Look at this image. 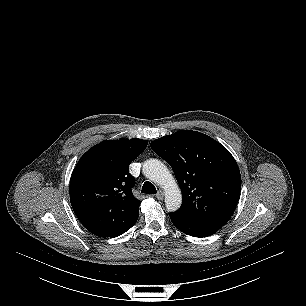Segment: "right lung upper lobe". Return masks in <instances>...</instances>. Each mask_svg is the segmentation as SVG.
I'll return each instance as SVG.
<instances>
[{
	"mask_svg": "<svg viewBox=\"0 0 306 306\" xmlns=\"http://www.w3.org/2000/svg\"><path fill=\"white\" fill-rule=\"evenodd\" d=\"M141 139L107 140L89 149L70 179V201L81 223L94 235L117 237L139 216L128 166L146 148Z\"/></svg>",
	"mask_w": 306,
	"mask_h": 306,
	"instance_id": "obj_1",
	"label": "right lung upper lobe"
}]
</instances>
